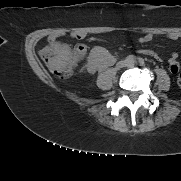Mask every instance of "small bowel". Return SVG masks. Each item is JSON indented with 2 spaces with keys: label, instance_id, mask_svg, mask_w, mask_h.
Instances as JSON below:
<instances>
[{
  "label": "small bowel",
  "instance_id": "1",
  "mask_svg": "<svg viewBox=\"0 0 181 181\" xmlns=\"http://www.w3.org/2000/svg\"><path fill=\"white\" fill-rule=\"evenodd\" d=\"M72 36L76 39H83V38H85L86 35L83 33H75ZM154 37L155 36L153 34L149 33V34H145V35L141 36L138 39V41L140 43H148V42H151L154 39ZM180 37H181V33H177V32H171V33L167 34V38L170 40H177ZM48 43L51 46L58 47V48H69L66 44L59 42L57 35H54V34H52L48 37ZM138 52L140 54L150 56V57H153V58L159 60L158 54L156 52H154L153 50L140 49V50H138ZM83 54H81V55H83ZM81 55H79V57ZM88 68L90 71H95L96 66L93 63H90ZM169 69H170L171 73H173V74H176L180 71V64L178 62V54L177 53H173L171 55V57L169 59Z\"/></svg>",
  "mask_w": 181,
  "mask_h": 181
}]
</instances>
